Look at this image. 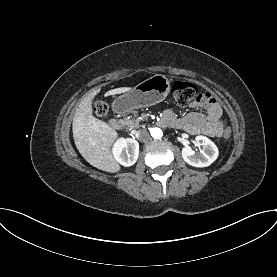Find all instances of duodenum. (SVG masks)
Instances as JSON below:
<instances>
[{
    "mask_svg": "<svg viewBox=\"0 0 277 277\" xmlns=\"http://www.w3.org/2000/svg\"><path fill=\"white\" fill-rule=\"evenodd\" d=\"M117 110H118L119 112L122 111L121 108H118ZM109 125H110L111 128H113V129H115V130H119V129H121L122 126H123V121L120 120V119H115V118H114V119H111V120L109 121Z\"/></svg>",
    "mask_w": 277,
    "mask_h": 277,
    "instance_id": "obj_1",
    "label": "duodenum"
}]
</instances>
